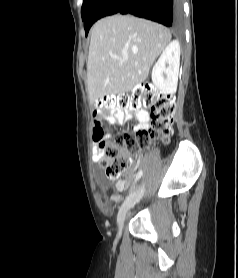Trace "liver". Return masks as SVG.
I'll return each instance as SVG.
<instances>
[{
  "label": "liver",
  "instance_id": "1",
  "mask_svg": "<svg viewBox=\"0 0 238 278\" xmlns=\"http://www.w3.org/2000/svg\"><path fill=\"white\" fill-rule=\"evenodd\" d=\"M170 40L168 29L146 19L114 15L97 21L87 61L90 103L105 95L128 93L144 82Z\"/></svg>",
  "mask_w": 238,
  "mask_h": 278
}]
</instances>
